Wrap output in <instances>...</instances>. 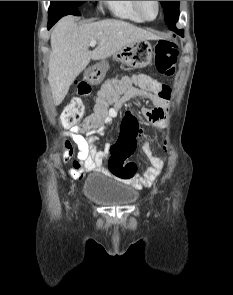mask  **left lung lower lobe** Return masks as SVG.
<instances>
[{"mask_svg": "<svg viewBox=\"0 0 233 295\" xmlns=\"http://www.w3.org/2000/svg\"><path fill=\"white\" fill-rule=\"evenodd\" d=\"M169 29L176 32L177 34L181 35L182 37L184 36V30H178L175 25L169 27Z\"/></svg>", "mask_w": 233, "mask_h": 295, "instance_id": "left-lung-lower-lobe-1", "label": "left lung lower lobe"}]
</instances>
